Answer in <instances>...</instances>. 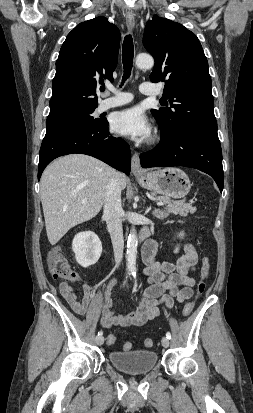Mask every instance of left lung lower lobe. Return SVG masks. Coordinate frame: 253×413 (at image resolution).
<instances>
[{
	"label": "left lung lower lobe",
	"instance_id": "obj_1",
	"mask_svg": "<svg viewBox=\"0 0 253 413\" xmlns=\"http://www.w3.org/2000/svg\"><path fill=\"white\" fill-rule=\"evenodd\" d=\"M141 166H185L198 169L213 177L220 191L224 175L222 151L217 132L190 128L170 140L160 139L152 151L140 155Z\"/></svg>",
	"mask_w": 253,
	"mask_h": 413
}]
</instances>
